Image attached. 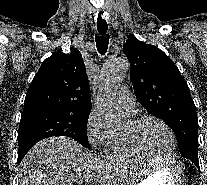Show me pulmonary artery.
<instances>
[{
	"label": "pulmonary artery",
	"instance_id": "obj_1",
	"mask_svg": "<svg viewBox=\"0 0 207 185\" xmlns=\"http://www.w3.org/2000/svg\"><path fill=\"white\" fill-rule=\"evenodd\" d=\"M129 91L130 86H119V93H117V99L122 106H124L129 111H133V109L135 108V100Z\"/></svg>",
	"mask_w": 207,
	"mask_h": 185
}]
</instances>
